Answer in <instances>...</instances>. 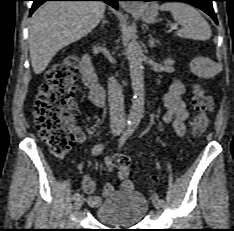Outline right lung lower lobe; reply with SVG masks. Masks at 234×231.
<instances>
[{
  "label": "right lung lower lobe",
  "mask_w": 234,
  "mask_h": 231,
  "mask_svg": "<svg viewBox=\"0 0 234 231\" xmlns=\"http://www.w3.org/2000/svg\"><path fill=\"white\" fill-rule=\"evenodd\" d=\"M34 3L30 10V15L44 2L46 1H104L107 4L111 5L115 9H118L117 1L119 0H32Z\"/></svg>",
  "instance_id": "right-lung-lower-lobe-1"
}]
</instances>
